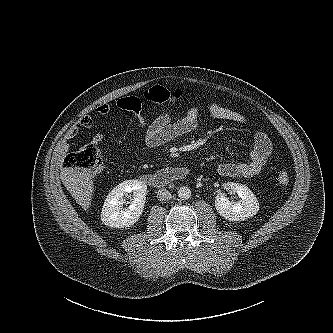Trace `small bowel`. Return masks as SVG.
Wrapping results in <instances>:
<instances>
[{"label": "small bowel", "mask_w": 333, "mask_h": 333, "mask_svg": "<svg viewBox=\"0 0 333 333\" xmlns=\"http://www.w3.org/2000/svg\"><path fill=\"white\" fill-rule=\"evenodd\" d=\"M118 108L132 112L144 124L142 115L141 101L138 97L128 96L117 100ZM207 112L216 119L227 120L237 124H245L247 118L241 112L223 107L218 103L207 105ZM96 114L106 116L111 111V106L107 103L101 104L96 108ZM202 108L199 105L190 107L186 113L178 120L173 121L168 112L159 114L146 128L144 134V144L148 148H156L164 145L182 135L188 134L195 130L201 122ZM93 125L91 116H85L80 121V126L90 128ZM80 131L79 126L71 127L64 137V144L68 145L69 141L74 139ZM104 137L97 133L93 137V142L99 144ZM273 151V146L268 135L258 131L254 135L253 148L250 151L247 161L224 162L218 166V173L226 177H251L258 174L269 159Z\"/></svg>", "instance_id": "c3829d8e"}]
</instances>
